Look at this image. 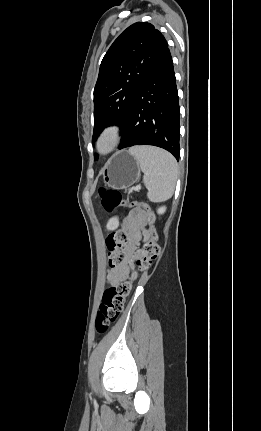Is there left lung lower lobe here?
<instances>
[{
    "label": "left lung lower lobe",
    "instance_id": "1",
    "mask_svg": "<svg viewBox=\"0 0 261 431\" xmlns=\"http://www.w3.org/2000/svg\"><path fill=\"white\" fill-rule=\"evenodd\" d=\"M180 112L173 61L167 48L142 82L130 108L118 149L153 145L179 160Z\"/></svg>",
    "mask_w": 261,
    "mask_h": 431
}]
</instances>
